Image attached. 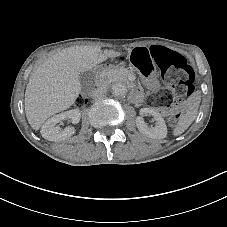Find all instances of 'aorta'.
Segmentation results:
<instances>
[{"label":"aorta","instance_id":"1","mask_svg":"<svg viewBox=\"0 0 227 227\" xmlns=\"http://www.w3.org/2000/svg\"><path fill=\"white\" fill-rule=\"evenodd\" d=\"M112 94L116 97H124L127 94V87L124 83L117 82L112 85Z\"/></svg>","mask_w":227,"mask_h":227}]
</instances>
